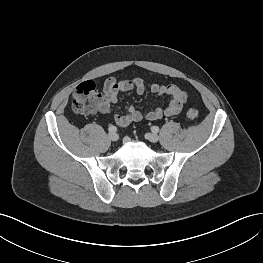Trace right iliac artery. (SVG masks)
I'll list each match as a JSON object with an SVG mask.
<instances>
[{
	"label": "right iliac artery",
	"mask_w": 263,
	"mask_h": 263,
	"mask_svg": "<svg viewBox=\"0 0 263 263\" xmlns=\"http://www.w3.org/2000/svg\"><path fill=\"white\" fill-rule=\"evenodd\" d=\"M109 132H116L117 131V128L113 125L109 126L108 128Z\"/></svg>",
	"instance_id": "obj_1"
}]
</instances>
